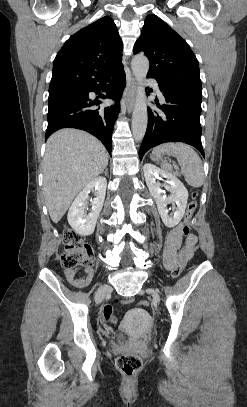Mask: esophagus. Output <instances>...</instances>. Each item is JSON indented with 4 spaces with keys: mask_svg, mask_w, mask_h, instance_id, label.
<instances>
[{
    "mask_svg": "<svg viewBox=\"0 0 247 407\" xmlns=\"http://www.w3.org/2000/svg\"><path fill=\"white\" fill-rule=\"evenodd\" d=\"M135 94H136V80L132 76L130 78L128 88L124 92L123 99H122V105L125 107L128 113H131L134 105H135Z\"/></svg>",
    "mask_w": 247,
    "mask_h": 407,
    "instance_id": "34e87169",
    "label": "esophagus"
}]
</instances>
